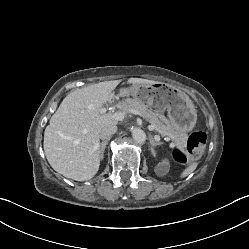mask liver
<instances>
[{
  "mask_svg": "<svg viewBox=\"0 0 249 249\" xmlns=\"http://www.w3.org/2000/svg\"><path fill=\"white\" fill-rule=\"evenodd\" d=\"M120 80L105 81L70 92L52 115L44 132V152L51 167L67 178L89 180L100 166L101 128L118 123L112 113L102 112ZM128 84L156 81L129 78Z\"/></svg>",
  "mask_w": 249,
  "mask_h": 249,
  "instance_id": "liver-1",
  "label": "liver"
}]
</instances>
